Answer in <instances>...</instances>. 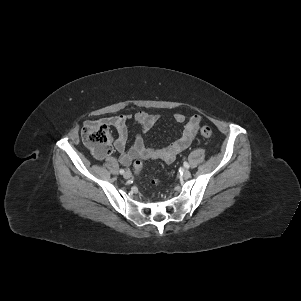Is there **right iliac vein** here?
<instances>
[{
  "label": "right iliac vein",
  "instance_id": "1",
  "mask_svg": "<svg viewBox=\"0 0 301 301\" xmlns=\"http://www.w3.org/2000/svg\"><path fill=\"white\" fill-rule=\"evenodd\" d=\"M131 176H132V174H131L130 171H126V172L123 174V177H124L125 179H129V178H131Z\"/></svg>",
  "mask_w": 301,
  "mask_h": 301
}]
</instances>
